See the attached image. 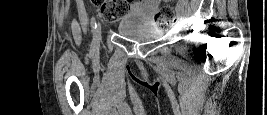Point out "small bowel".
Masks as SVG:
<instances>
[{
    "label": "small bowel",
    "instance_id": "small-bowel-1",
    "mask_svg": "<svg viewBox=\"0 0 267 115\" xmlns=\"http://www.w3.org/2000/svg\"><path fill=\"white\" fill-rule=\"evenodd\" d=\"M160 3L161 0H144L136 2L131 5V15L146 20H152Z\"/></svg>",
    "mask_w": 267,
    "mask_h": 115
}]
</instances>
